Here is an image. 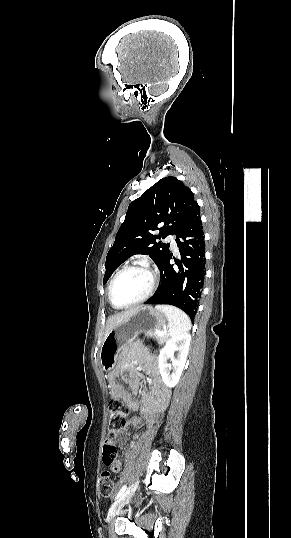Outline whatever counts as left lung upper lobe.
<instances>
[{
  "label": "left lung upper lobe",
  "instance_id": "obj_1",
  "mask_svg": "<svg viewBox=\"0 0 291 538\" xmlns=\"http://www.w3.org/2000/svg\"><path fill=\"white\" fill-rule=\"evenodd\" d=\"M198 209L193 193L182 181L169 176L155 183L129 205L106 257L103 284L121 263L135 254L149 255L160 267L169 252V244L157 243L156 239L175 234ZM155 230L160 231L159 235L153 234Z\"/></svg>",
  "mask_w": 291,
  "mask_h": 538
}]
</instances>
